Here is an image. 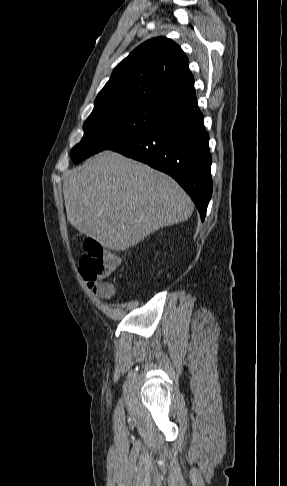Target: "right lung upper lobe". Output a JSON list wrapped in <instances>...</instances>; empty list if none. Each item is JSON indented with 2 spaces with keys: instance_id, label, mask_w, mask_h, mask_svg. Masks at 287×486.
Instances as JSON below:
<instances>
[{
  "instance_id": "obj_1",
  "label": "right lung upper lobe",
  "mask_w": 287,
  "mask_h": 486,
  "mask_svg": "<svg viewBox=\"0 0 287 486\" xmlns=\"http://www.w3.org/2000/svg\"><path fill=\"white\" fill-rule=\"evenodd\" d=\"M194 99V78L185 53L172 40L156 37L117 65L94 107L145 102L172 110Z\"/></svg>"
}]
</instances>
